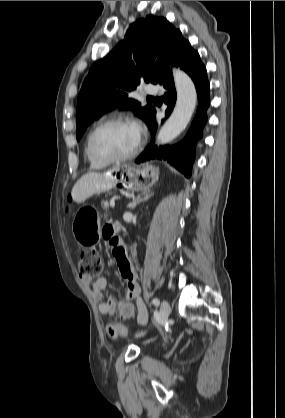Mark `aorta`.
I'll list each match as a JSON object with an SVG mask.
<instances>
[{
  "mask_svg": "<svg viewBox=\"0 0 285 418\" xmlns=\"http://www.w3.org/2000/svg\"><path fill=\"white\" fill-rule=\"evenodd\" d=\"M173 77L177 91V102L171 116L157 136L158 144H167L186 128L197 102V92L192 79L177 68L173 69Z\"/></svg>",
  "mask_w": 285,
  "mask_h": 418,
  "instance_id": "aorta-1",
  "label": "aorta"
}]
</instances>
